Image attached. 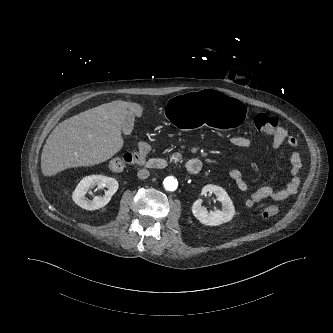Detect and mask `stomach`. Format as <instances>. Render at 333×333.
Returning a JSON list of instances; mask_svg holds the SVG:
<instances>
[{"mask_svg":"<svg viewBox=\"0 0 333 333\" xmlns=\"http://www.w3.org/2000/svg\"><path fill=\"white\" fill-rule=\"evenodd\" d=\"M166 114L182 130L207 127L236 131L244 127L249 118L244 102L213 90L171 98L166 105Z\"/></svg>","mask_w":333,"mask_h":333,"instance_id":"1","label":"stomach"}]
</instances>
